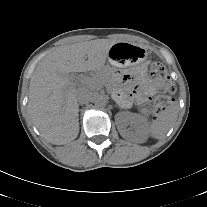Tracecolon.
I'll return each instance as SVG.
<instances>
[{
	"mask_svg": "<svg viewBox=\"0 0 207 207\" xmlns=\"http://www.w3.org/2000/svg\"><path fill=\"white\" fill-rule=\"evenodd\" d=\"M150 73L156 80L160 94L154 98V115L158 117L171 107V100L164 93H173L175 84L170 79L166 67L155 57L150 59Z\"/></svg>",
	"mask_w": 207,
	"mask_h": 207,
	"instance_id": "obj_1",
	"label": "colon"
}]
</instances>
